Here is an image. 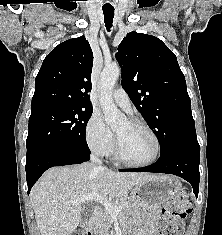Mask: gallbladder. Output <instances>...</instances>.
I'll return each mask as SVG.
<instances>
[{
	"label": "gallbladder",
	"instance_id": "1",
	"mask_svg": "<svg viewBox=\"0 0 222 235\" xmlns=\"http://www.w3.org/2000/svg\"><path fill=\"white\" fill-rule=\"evenodd\" d=\"M93 210H94V207H93L92 205H86V206L83 208L81 218H82L83 220L89 219V218L92 216V214H93Z\"/></svg>",
	"mask_w": 222,
	"mask_h": 235
}]
</instances>
